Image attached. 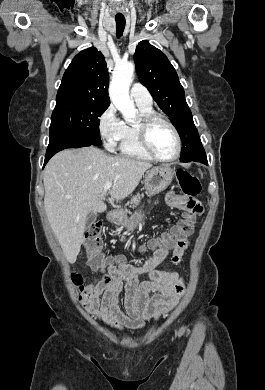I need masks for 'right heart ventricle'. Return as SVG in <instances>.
<instances>
[{"instance_id": "e07e8e85", "label": "right heart ventricle", "mask_w": 265, "mask_h": 390, "mask_svg": "<svg viewBox=\"0 0 265 390\" xmlns=\"http://www.w3.org/2000/svg\"><path fill=\"white\" fill-rule=\"evenodd\" d=\"M138 106V105H137ZM141 115L152 112L151 106H138ZM118 149L122 156L142 160V161H152L153 158L150 157L142 148L138 133L136 130V125L124 124V130L122 137L118 143Z\"/></svg>"}]
</instances>
